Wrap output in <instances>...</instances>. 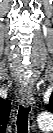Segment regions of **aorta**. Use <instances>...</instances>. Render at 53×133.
<instances>
[{
  "instance_id": "762f6f07",
  "label": "aorta",
  "mask_w": 53,
  "mask_h": 133,
  "mask_svg": "<svg viewBox=\"0 0 53 133\" xmlns=\"http://www.w3.org/2000/svg\"><path fill=\"white\" fill-rule=\"evenodd\" d=\"M38 124L42 129H49L52 126L51 113H41L37 118Z\"/></svg>"
}]
</instances>
